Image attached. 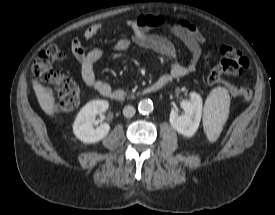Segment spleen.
<instances>
[{
	"label": "spleen",
	"instance_id": "1",
	"mask_svg": "<svg viewBox=\"0 0 275 215\" xmlns=\"http://www.w3.org/2000/svg\"><path fill=\"white\" fill-rule=\"evenodd\" d=\"M230 96L223 87H217L209 94L204 106V129L210 142L221 133L228 118Z\"/></svg>",
	"mask_w": 275,
	"mask_h": 215
}]
</instances>
